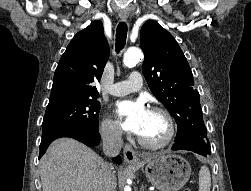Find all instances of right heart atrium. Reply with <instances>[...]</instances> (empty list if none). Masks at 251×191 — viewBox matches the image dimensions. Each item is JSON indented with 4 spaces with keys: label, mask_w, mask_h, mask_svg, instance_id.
I'll return each instance as SVG.
<instances>
[{
    "label": "right heart atrium",
    "mask_w": 251,
    "mask_h": 191,
    "mask_svg": "<svg viewBox=\"0 0 251 191\" xmlns=\"http://www.w3.org/2000/svg\"><path fill=\"white\" fill-rule=\"evenodd\" d=\"M99 134L102 140L111 145H116L121 142V131L115 123L110 119L104 118L99 126Z\"/></svg>",
    "instance_id": "obj_1"
}]
</instances>
